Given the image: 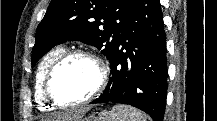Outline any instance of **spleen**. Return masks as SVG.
Masks as SVG:
<instances>
[{
    "instance_id": "obj_1",
    "label": "spleen",
    "mask_w": 217,
    "mask_h": 121,
    "mask_svg": "<svg viewBox=\"0 0 217 121\" xmlns=\"http://www.w3.org/2000/svg\"><path fill=\"white\" fill-rule=\"evenodd\" d=\"M102 121H146L145 116L128 105H115L110 111L101 113Z\"/></svg>"
}]
</instances>
